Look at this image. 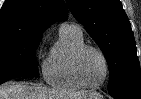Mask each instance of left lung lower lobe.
<instances>
[{
  "label": "left lung lower lobe",
  "mask_w": 141,
  "mask_h": 99,
  "mask_svg": "<svg viewBox=\"0 0 141 99\" xmlns=\"http://www.w3.org/2000/svg\"><path fill=\"white\" fill-rule=\"evenodd\" d=\"M109 94L115 99H141V90H113Z\"/></svg>",
  "instance_id": "0a47b994"
}]
</instances>
